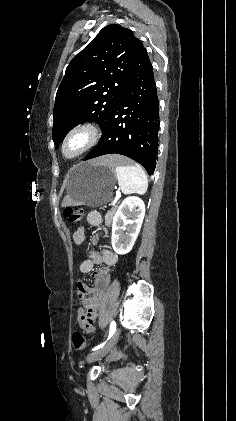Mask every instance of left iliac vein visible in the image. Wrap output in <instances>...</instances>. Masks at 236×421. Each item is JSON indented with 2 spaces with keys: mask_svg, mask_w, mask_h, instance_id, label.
Instances as JSON below:
<instances>
[{
  "mask_svg": "<svg viewBox=\"0 0 236 421\" xmlns=\"http://www.w3.org/2000/svg\"><path fill=\"white\" fill-rule=\"evenodd\" d=\"M119 337V331L116 330L114 332V334L112 335V337L109 339V341L105 344V346H103L101 349L89 354L85 360L90 363L93 362L99 358H101L102 356H104L105 354H107L115 345L116 341L118 340Z\"/></svg>",
  "mask_w": 236,
  "mask_h": 421,
  "instance_id": "left-iliac-vein-1",
  "label": "left iliac vein"
}]
</instances>
